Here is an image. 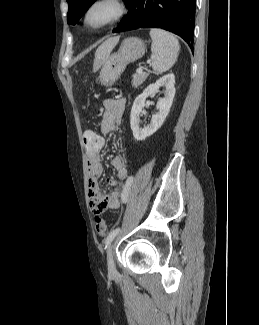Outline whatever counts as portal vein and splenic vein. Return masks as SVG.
<instances>
[{
	"instance_id": "1",
	"label": "portal vein and splenic vein",
	"mask_w": 259,
	"mask_h": 325,
	"mask_svg": "<svg viewBox=\"0 0 259 325\" xmlns=\"http://www.w3.org/2000/svg\"><path fill=\"white\" fill-rule=\"evenodd\" d=\"M137 72H138V73H141V72H142V68L139 67V68L137 69Z\"/></svg>"
}]
</instances>
